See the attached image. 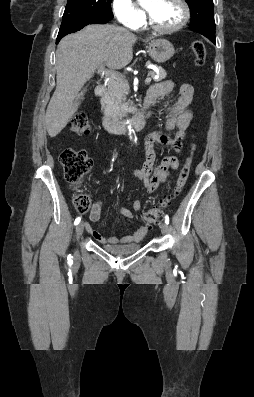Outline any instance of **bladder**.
<instances>
[{"label":"bladder","mask_w":254,"mask_h":397,"mask_svg":"<svg viewBox=\"0 0 254 397\" xmlns=\"http://www.w3.org/2000/svg\"><path fill=\"white\" fill-rule=\"evenodd\" d=\"M141 248L140 244H128L117 246H104L103 249L115 256H126L137 252Z\"/></svg>","instance_id":"1"}]
</instances>
